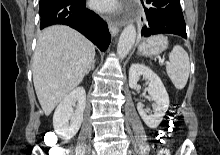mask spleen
I'll list each match as a JSON object with an SVG mask.
<instances>
[{"label":"spleen","mask_w":220,"mask_h":155,"mask_svg":"<svg viewBox=\"0 0 220 155\" xmlns=\"http://www.w3.org/2000/svg\"><path fill=\"white\" fill-rule=\"evenodd\" d=\"M166 72L176 89L182 90L186 86L190 62L187 52L180 45H175L169 54Z\"/></svg>","instance_id":"obj_1"}]
</instances>
